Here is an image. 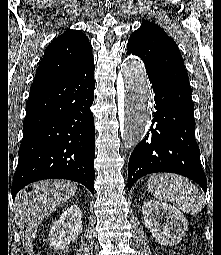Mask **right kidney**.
<instances>
[{
	"mask_svg": "<svg viewBox=\"0 0 221 255\" xmlns=\"http://www.w3.org/2000/svg\"><path fill=\"white\" fill-rule=\"evenodd\" d=\"M82 230V212L77 204L69 206L62 212L49 232L50 246L66 249L70 242L76 240Z\"/></svg>",
	"mask_w": 221,
	"mask_h": 255,
	"instance_id": "1",
	"label": "right kidney"
}]
</instances>
